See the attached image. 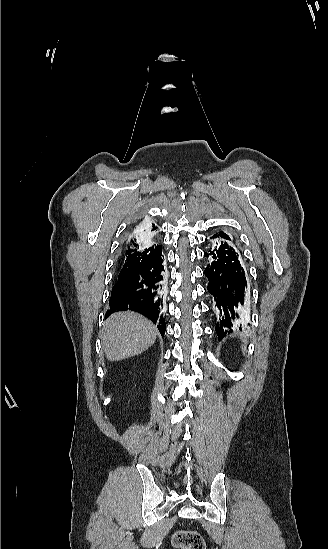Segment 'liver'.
I'll list each match as a JSON object with an SVG mask.
<instances>
[{"mask_svg":"<svg viewBox=\"0 0 328 549\" xmlns=\"http://www.w3.org/2000/svg\"><path fill=\"white\" fill-rule=\"evenodd\" d=\"M102 341L108 361H123L152 347L156 331L152 321L138 313H113L104 323Z\"/></svg>","mask_w":328,"mask_h":549,"instance_id":"obj_1","label":"liver"}]
</instances>
